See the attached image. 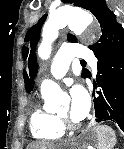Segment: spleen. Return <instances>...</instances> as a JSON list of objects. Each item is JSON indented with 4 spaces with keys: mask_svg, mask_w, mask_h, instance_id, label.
I'll return each mask as SVG.
<instances>
[{
    "mask_svg": "<svg viewBox=\"0 0 124 149\" xmlns=\"http://www.w3.org/2000/svg\"><path fill=\"white\" fill-rule=\"evenodd\" d=\"M95 131L98 141L97 149H112L116 143L114 131L106 125L96 126Z\"/></svg>",
    "mask_w": 124,
    "mask_h": 149,
    "instance_id": "1",
    "label": "spleen"
}]
</instances>
